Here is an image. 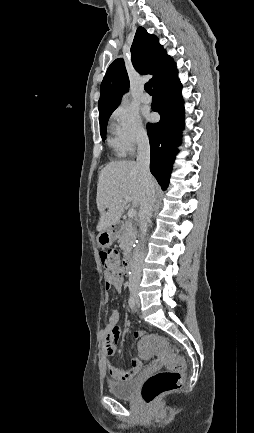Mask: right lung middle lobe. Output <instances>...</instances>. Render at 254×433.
<instances>
[{"label": "right lung middle lobe", "mask_w": 254, "mask_h": 433, "mask_svg": "<svg viewBox=\"0 0 254 433\" xmlns=\"http://www.w3.org/2000/svg\"><path fill=\"white\" fill-rule=\"evenodd\" d=\"M110 115L111 114H109L108 117L104 121L99 122L100 123V134H101V137L103 140L105 139V136H106V126H107V122H108L107 120L110 117Z\"/></svg>", "instance_id": "obj_1"}]
</instances>
